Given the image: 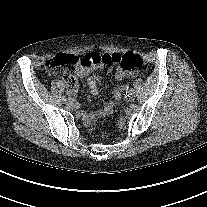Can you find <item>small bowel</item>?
<instances>
[{
    "label": "small bowel",
    "instance_id": "small-bowel-1",
    "mask_svg": "<svg viewBox=\"0 0 207 207\" xmlns=\"http://www.w3.org/2000/svg\"><path fill=\"white\" fill-rule=\"evenodd\" d=\"M103 69V64H95L89 67H85L80 71L81 77H87V83L89 90L92 95L97 96L99 94V82L100 77L98 75H91L94 71H100ZM109 71H113V68H109ZM135 74L124 71L122 68L117 67L115 69V78L118 81L124 79L132 78ZM125 86H120L112 91V97L115 100H119L122 94L126 91ZM115 108V103L111 99H105L103 106L95 112L84 113L82 116V121L86 126L94 123L97 119L106 117L112 114Z\"/></svg>",
    "mask_w": 207,
    "mask_h": 207
}]
</instances>
